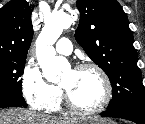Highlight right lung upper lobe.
<instances>
[{"label": "right lung upper lobe", "mask_w": 145, "mask_h": 124, "mask_svg": "<svg viewBox=\"0 0 145 124\" xmlns=\"http://www.w3.org/2000/svg\"><path fill=\"white\" fill-rule=\"evenodd\" d=\"M32 38L31 8L11 0L0 9V57L26 58Z\"/></svg>", "instance_id": "obj_1"}]
</instances>
